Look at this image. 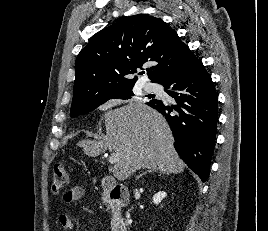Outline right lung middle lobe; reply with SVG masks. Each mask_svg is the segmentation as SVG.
I'll list each match as a JSON object with an SVG mask.
<instances>
[{"mask_svg":"<svg viewBox=\"0 0 268 231\" xmlns=\"http://www.w3.org/2000/svg\"><path fill=\"white\" fill-rule=\"evenodd\" d=\"M132 88L133 87L117 90L114 93L109 94L95 101L72 103L70 116L74 118L78 115L86 114L92 111L93 109L97 108L99 105L105 103L109 99L113 98L129 99L131 98V96H133Z\"/></svg>","mask_w":268,"mask_h":231,"instance_id":"1","label":"right lung middle lobe"}]
</instances>
